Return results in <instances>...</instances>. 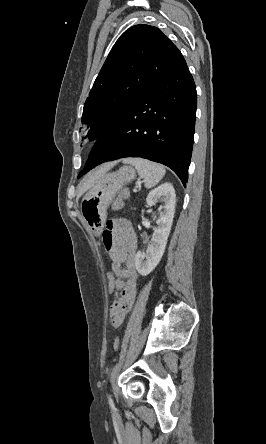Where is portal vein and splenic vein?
<instances>
[{"mask_svg": "<svg viewBox=\"0 0 266 444\" xmlns=\"http://www.w3.org/2000/svg\"><path fill=\"white\" fill-rule=\"evenodd\" d=\"M133 191H134V192H137V189H134Z\"/></svg>", "mask_w": 266, "mask_h": 444, "instance_id": "obj_1", "label": "portal vein and splenic vein"}]
</instances>
